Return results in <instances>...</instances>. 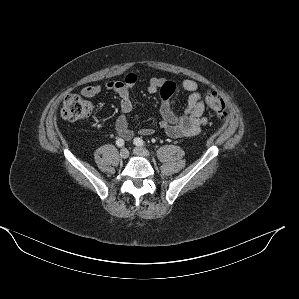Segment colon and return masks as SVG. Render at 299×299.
<instances>
[{
    "instance_id": "1",
    "label": "colon",
    "mask_w": 299,
    "mask_h": 299,
    "mask_svg": "<svg viewBox=\"0 0 299 299\" xmlns=\"http://www.w3.org/2000/svg\"><path fill=\"white\" fill-rule=\"evenodd\" d=\"M205 102L220 120L225 121L227 119L226 104L222 98L214 93H207ZM92 109L90 102L77 94H70L63 101L60 114L64 120L76 122L88 118Z\"/></svg>"
}]
</instances>
